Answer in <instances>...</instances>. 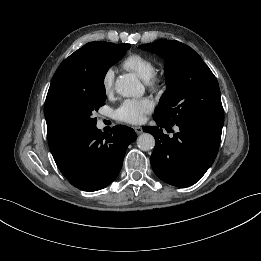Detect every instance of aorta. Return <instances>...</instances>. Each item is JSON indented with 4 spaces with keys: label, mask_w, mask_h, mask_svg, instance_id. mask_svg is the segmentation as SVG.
Here are the masks:
<instances>
[{
    "label": "aorta",
    "mask_w": 261,
    "mask_h": 261,
    "mask_svg": "<svg viewBox=\"0 0 261 261\" xmlns=\"http://www.w3.org/2000/svg\"><path fill=\"white\" fill-rule=\"evenodd\" d=\"M115 89L123 97H140L144 93V86L135 74L120 75L115 82ZM137 146L142 151L152 150L155 139L150 133H143L137 139Z\"/></svg>",
    "instance_id": "762f6f07"
}]
</instances>
